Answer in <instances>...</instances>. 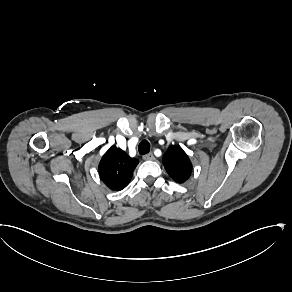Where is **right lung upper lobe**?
<instances>
[{"label": "right lung upper lobe", "instance_id": "1", "mask_svg": "<svg viewBox=\"0 0 292 292\" xmlns=\"http://www.w3.org/2000/svg\"><path fill=\"white\" fill-rule=\"evenodd\" d=\"M138 163V159L130 158L124 151L112 146L99 163V175L111 190L119 191L129 184Z\"/></svg>", "mask_w": 292, "mask_h": 292}]
</instances>
